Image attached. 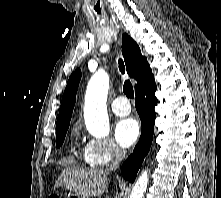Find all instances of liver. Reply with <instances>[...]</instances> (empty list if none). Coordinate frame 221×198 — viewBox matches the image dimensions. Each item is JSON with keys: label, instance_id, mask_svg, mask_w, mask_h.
<instances>
[{"label": "liver", "instance_id": "1", "mask_svg": "<svg viewBox=\"0 0 221 198\" xmlns=\"http://www.w3.org/2000/svg\"><path fill=\"white\" fill-rule=\"evenodd\" d=\"M108 172L102 169H65L55 183L75 194L100 197L106 190Z\"/></svg>", "mask_w": 221, "mask_h": 198}]
</instances>
